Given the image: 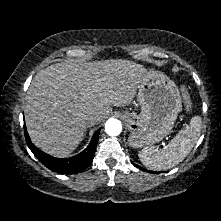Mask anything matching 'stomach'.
<instances>
[{"mask_svg": "<svg viewBox=\"0 0 221 221\" xmlns=\"http://www.w3.org/2000/svg\"><path fill=\"white\" fill-rule=\"evenodd\" d=\"M140 114L125 111L123 119L130 130L131 147L150 146L161 141L172 130L182 110L180 92L176 84L158 71L146 72L138 85Z\"/></svg>", "mask_w": 221, "mask_h": 221, "instance_id": "obj_1", "label": "stomach"}]
</instances>
